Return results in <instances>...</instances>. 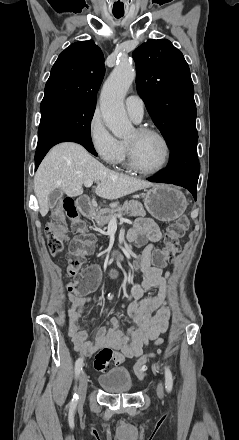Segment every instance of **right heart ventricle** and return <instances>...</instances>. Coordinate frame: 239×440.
Returning <instances> with one entry per match:
<instances>
[{"instance_id":"obj_1","label":"right heart ventricle","mask_w":239,"mask_h":440,"mask_svg":"<svg viewBox=\"0 0 239 440\" xmlns=\"http://www.w3.org/2000/svg\"><path fill=\"white\" fill-rule=\"evenodd\" d=\"M120 163H121L124 167H127V168L130 167L129 162H128V157H127L126 144H125V152H124V155H123L122 160H121Z\"/></svg>"}]
</instances>
